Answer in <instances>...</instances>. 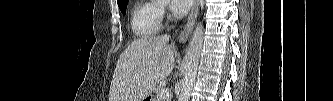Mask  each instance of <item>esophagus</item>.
<instances>
[{"mask_svg":"<svg viewBox=\"0 0 333 101\" xmlns=\"http://www.w3.org/2000/svg\"><path fill=\"white\" fill-rule=\"evenodd\" d=\"M198 12H199V0H195L191 13L188 16L187 23L179 35V42L184 43L187 41L189 35L193 30Z\"/></svg>","mask_w":333,"mask_h":101,"instance_id":"1","label":"esophagus"}]
</instances>
